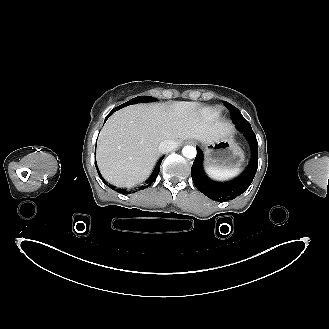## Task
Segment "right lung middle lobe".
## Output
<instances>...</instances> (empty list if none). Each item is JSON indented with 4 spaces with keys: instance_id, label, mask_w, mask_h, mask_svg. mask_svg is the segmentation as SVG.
<instances>
[{
    "instance_id": "dd1d6c3e",
    "label": "right lung middle lobe",
    "mask_w": 329,
    "mask_h": 329,
    "mask_svg": "<svg viewBox=\"0 0 329 329\" xmlns=\"http://www.w3.org/2000/svg\"><path fill=\"white\" fill-rule=\"evenodd\" d=\"M152 101H155V98L150 97V96H138V97H135V98L129 100L128 102L114 108L113 110L117 111L125 106L131 105V104H136L139 102H152Z\"/></svg>"
}]
</instances>
